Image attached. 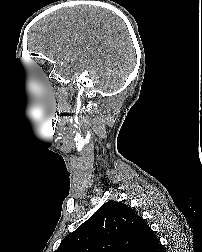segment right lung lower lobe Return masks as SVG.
Returning a JSON list of instances; mask_svg holds the SVG:
<instances>
[{"mask_svg": "<svg viewBox=\"0 0 202 252\" xmlns=\"http://www.w3.org/2000/svg\"><path fill=\"white\" fill-rule=\"evenodd\" d=\"M161 249H162V252H165V249L163 248V246H162V247H160V249L158 250V252H160V251H161Z\"/></svg>", "mask_w": 202, "mask_h": 252, "instance_id": "98d812e1", "label": "right lung lower lobe"}]
</instances>
